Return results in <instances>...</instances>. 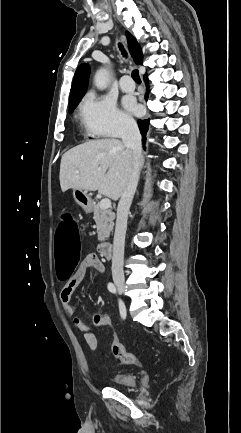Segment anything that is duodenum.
Masks as SVG:
<instances>
[{
	"instance_id": "410a0bca",
	"label": "duodenum",
	"mask_w": 241,
	"mask_h": 433,
	"mask_svg": "<svg viewBox=\"0 0 241 433\" xmlns=\"http://www.w3.org/2000/svg\"><path fill=\"white\" fill-rule=\"evenodd\" d=\"M99 252L105 259H110L112 256V244L103 242L99 245Z\"/></svg>"
}]
</instances>
